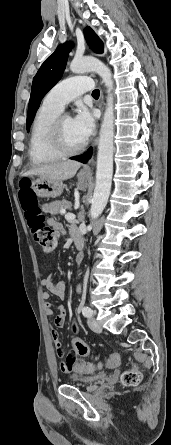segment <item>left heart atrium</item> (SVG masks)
Returning <instances> with one entry per match:
<instances>
[{
	"instance_id": "left-heart-atrium-1",
	"label": "left heart atrium",
	"mask_w": 171,
	"mask_h": 445,
	"mask_svg": "<svg viewBox=\"0 0 171 445\" xmlns=\"http://www.w3.org/2000/svg\"><path fill=\"white\" fill-rule=\"evenodd\" d=\"M73 123L80 135L86 140L94 131L95 120L90 110L84 106L77 109Z\"/></svg>"
}]
</instances>
